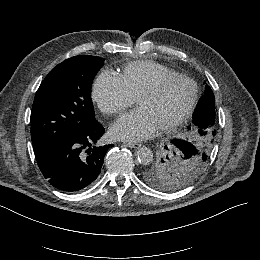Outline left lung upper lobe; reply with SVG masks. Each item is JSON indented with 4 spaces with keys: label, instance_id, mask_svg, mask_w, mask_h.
I'll return each mask as SVG.
<instances>
[{
    "label": "left lung upper lobe",
    "instance_id": "1",
    "mask_svg": "<svg viewBox=\"0 0 260 260\" xmlns=\"http://www.w3.org/2000/svg\"><path fill=\"white\" fill-rule=\"evenodd\" d=\"M203 97L214 101L213 91L206 86ZM216 122L210 128L189 126L179 138L191 143L195 151L184 153L172 141L162 146L155 159L141 172L143 180L150 186L173 192L194 182L210 162L215 136ZM174 140V139H173Z\"/></svg>",
    "mask_w": 260,
    "mask_h": 260
}]
</instances>
